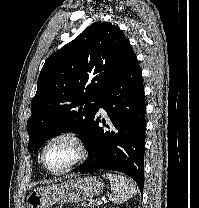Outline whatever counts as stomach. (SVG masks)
I'll use <instances>...</instances> for the list:
<instances>
[{"mask_svg": "<svg viewBox=\"0 0 199 208\" xmlns=\"http://www.w3.org/2000/svg\"><path fill=\"white\" fill-rule=\"evenodd\" d=\"M104 183L95 176L78 177L46 187L35 188L26 198L27 208H50L54 204L90 200L101 194Z\"/></svg>", "mask_w": 199, "mask_h": 208, "instance_id": "stomach-1", "label": "stomach"}]
</instances>
